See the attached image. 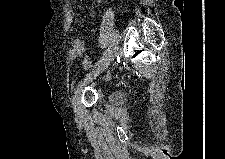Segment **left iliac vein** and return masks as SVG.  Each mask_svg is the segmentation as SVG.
Masks as SVG:
<instances>
[{"mask_svg": "<svg viewBox=\"0 0 225 159\" xmlns=\"http://www.w3.org/2000/svg\"><path fill=\"white\" fill-rule=\"evenodd\" d=\"M119 53V46L114 45L111 49L110 52L107 54L106 57H104L103 61L87 76L78 84L77 89L75 91V94L72 99V105L74 108L75 115L77 117L80 116V99L82 95V91L85 86H87L89 83H91L99 74H101L105 69L108 68L110 63L114 60V58L118 55Z\"/></svg>", "mask_w": 225, "mask_h": 159, "instance_id": "1", "label": "left iliac vein"}]
</instances>
